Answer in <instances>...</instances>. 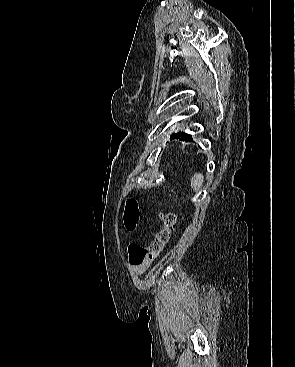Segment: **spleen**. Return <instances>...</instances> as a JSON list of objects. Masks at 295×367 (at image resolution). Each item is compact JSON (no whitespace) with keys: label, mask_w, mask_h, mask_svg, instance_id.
<instances>
[{"label":"spleen","mask_w":295,"mask_h":367,"mask_svg":"<svg viewBox=\"0 0 295 367\" xmlns=\"http://www.w3.org/2000/svg\"><path fill=\"white\" fill-rule=\"evenodd\" d=\"M203 181H204V177L202 174L200 173L195 174L191 179V186L193 190L198 191L201 188Z\"/></svg>","instance_id":"spleen-1"}]
</instances>
